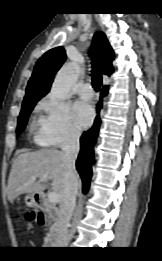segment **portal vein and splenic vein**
I'll return each instance as SVG.
<instances>
[{"label":"portal vein and splenic vein","instance_id":"18ae733b","mask_svg":"<svg viewBox=\"0 0 162 261\" xmlns=\"http://www.w3.org/2000/svg\"><path fill=\"white\" fill-rule=\"evenodd\" d=\"M31 179H32V181H36V180H37L36 177H32ZM39 181H41V182H46L47 179H46V177H41V178H39ZM48 201H49L50 203H52V204L57 203V202L59 201V196H58V194L55 193V192L49 193V194H48Z\"/></svg>","mask_w":162,"mask_h":261}]
</instances>
